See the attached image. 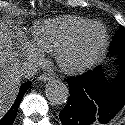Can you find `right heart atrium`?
I'll return each mask as SVG.
<instances>
[{
    "instance_id": "obj_1",
    "label": "right heart atrium",
    "mask_w": 125,
    "mask_h": 125,
    "mask_svg": "<svg viewBox=\"0 0 125 125\" xmlns=\"http://www.w3.org/2000/svg\"><path fill=\"white\" fill-rule=\"evenodd\" d=\"M23 53L30 60H37L39 58V51L31 44L26 41L23 45Z\"/></svg>"
}]
</instances>
